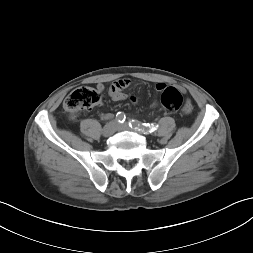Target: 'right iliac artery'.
Returning <instances> with one entry per match:
<instances>
[{"label": "right iliac artery", "instance_id": "obj_1", "mask_svg": "<svg viewBox=\"0 0 253 253\" xmlns=\"http://www.w3.org/2000/svg\"><path fill=\"white\" fill-rule=\"evenodd\" d=\"M125 119H126V116L123 112H118L116 114V120L119 122V123H124L125 122Z\"/></svg>", "mask_w": 253, "mask_h": 253}]
</instances>
